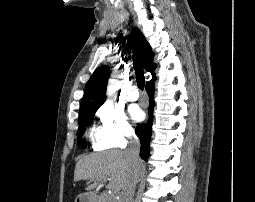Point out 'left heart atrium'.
<instances>
[{"instance_id":"left-heart-atrium-1","label":"left heart atrium","mask_w":255,"mask_h":202,"mask_svg":"<svg viewBox=\"0 0 255 202\" xmlns=\"http://www.w3.org/2000/svg\"><path fill=\"white\" fill-rule=\"evenodd\" d=\"M129 113L135 121H140L143 118V111L137 105H132L129 108Z\"/></svg>"}]
</instances>
